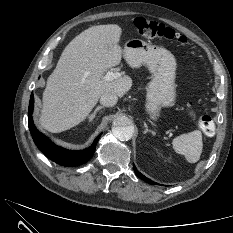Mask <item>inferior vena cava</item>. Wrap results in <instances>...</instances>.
<instances>
[{
	"label": "inferior vena cava",
	"mask_w": 233,
	"mask_h": 233,
	"mask_svg": "<svg viewBox=\"0 0 233 233\" xmlns=\"http://www.w3.org/2000/svg\"><path fill=\"white\" fill-rule=\"evenodd\" d=\"M118 101V97L116 94L112 92H105L101 97H100V103L104 106L107 107H112L114 106Z\"/></svg>",
	"instance_id": "inferior-vena-cava-1"
}]
</instances>
